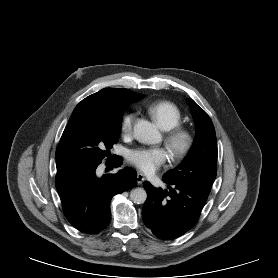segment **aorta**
<instances>
[{
    "instance_id": "762f6f07",
    "label": "aorta",
    "mask_w": 278,
    "mask_h": 278,
    "mask_svg": "<svg viewBox=\"0 0 278 278\" xmlns=\"http://www.w3.org/2000/svg\"><path fill=\"white\" fill-rule=\"evenodd\" d=\"M135 137L147 144H155L161 141V134L156 125L146 120H138L134 125ZM130 199L136 204H143L147 199V193L143 188H134L130 192Z\"/></svg>"
}]
</instances>
